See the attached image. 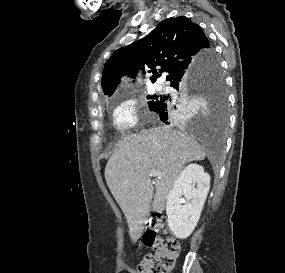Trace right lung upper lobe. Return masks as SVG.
<instances>
[{
    "label": "right lung upper lobe",
    "instance_id": "obj_1",
    "mask_svg": "<svg viewBox=\"0 0 285 273\" xmlns=\"http://www.w3.org/2000/svg\"><path fill=\"white\" fill-rule=\"evenodd\" d=\"M212 52L209 40L198 24L184 16L168 18L146 37L118 49L109 58L102 75V89L105 95L111 96L121 77H135L136 71L144 65L153 72L152 82L164 71L168 74L166 80L171 81L194 67L202 57L209 58ZM156 68L160 69L157 71Z\"/></svg>",
    "mask_w": 285,
    "mask_h": 273
}]
</instances>
